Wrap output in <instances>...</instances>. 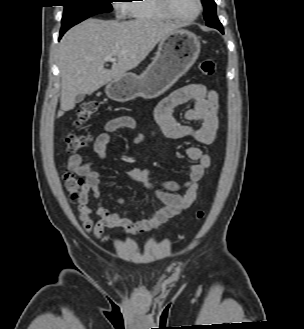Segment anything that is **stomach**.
Masks as SVG:
<instances>
[{"mask_svg": "<svg viewBox=\"0 0 304 329\" xmlns=\"http://www.w3.org/2000/svg\"><path fill=\"white\" fill-rule=\"evenodd\" d=\"M199 54L198 37L188 30L177 29L160 41L155 58L141 75L125 73L120 79L110 81L105 93L117 102L136 97L156 98L190 69Z\"/></svg>", "mask_w": 304, "mask_h": 329, "instance_id": "0dacf381", "label": "stomach"}]
</instances>
